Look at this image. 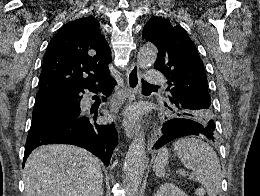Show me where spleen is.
Segmentation results:
<instances>
[{"label": "spleen", "instance_id": "spleen-1", "mask_svg": "<svg viewBox=\"0 0 260 196\" xmlns=\"http://www.w3.org/2000/svg\"><path fill=\"white\" fill-rule=\"evenodd\" d=\"M174 152L187 170H192L189 180L203 184L208 196H218L222 184V172L219 158L212 146L197 140V138H180L173 144ZM168 150L162 148L153 164V172L159 178L170 176L166 174Z\"/></svg>", "mask_w": 260, "mask_h": 196}]
</instances>
